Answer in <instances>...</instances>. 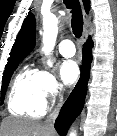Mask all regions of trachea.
<instances>
[{"label": "trachea", "instance_id": "obj_1", "mask_svg": "<svg viewBox=\"0 0 117 136\" xmlns=\"http://www.w3.org/2000/svg\"><path fill=\"white\" fill-rule=\"evenodd\" d=\"M64 4L72 14L71 26L74 35L80 38L83 30V17L79 0H64Z\"/></svg>", "mask_w": 117, "mask_h": 136}]
</instances>
